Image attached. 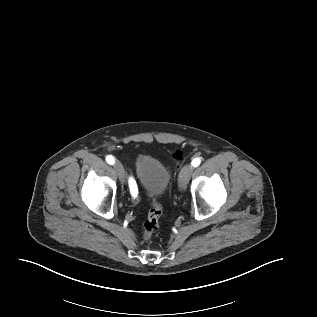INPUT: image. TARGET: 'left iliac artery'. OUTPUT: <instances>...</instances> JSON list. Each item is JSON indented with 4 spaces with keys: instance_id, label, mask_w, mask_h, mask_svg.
I'll use <instances>...</instances> for the list:
<instances>
[{
    "instance_id": "44dca946",
    "label": "left iliac artery",
    "mask_w": 317,
    "mask_h": 317,
    "mask_svg": "<svg viewBox=\"0 0 317 317\" xmlns=\"http://www.w3.org/2000/svg\"><path fill=\"white\" fill-rule=\"evenodd\" d=\"M200 163H201V159H200L199 157L194 158V159L192 160V165H193L194 167L199 166Z\"/></svg>"
}]
</instances>
